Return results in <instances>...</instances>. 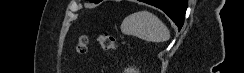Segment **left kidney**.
Segmentation results:
<instances>
[{"label": "left kidney", "instance_id": "5707ae66", "mask_svg": "<svg viewBox=\"0 0 244 73\" xmlns=\"http://www.w3.org/2000/svg\"><path fill=\"white\" fill-rule=\"evenodd\" d=\"M124 73H139V70L134 67H129L124 70Z\"/></svg>", "mask_w": 244, "mask_h": 73}]
</instances>
